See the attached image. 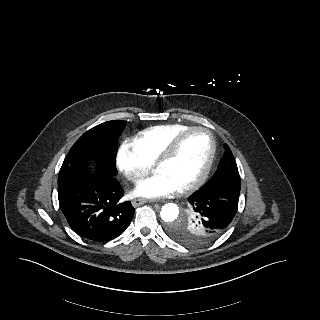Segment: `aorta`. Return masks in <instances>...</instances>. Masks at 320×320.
<instances>
[{
	"label": "aorta",
	"instance_id": "1",
	"mask_svg": "<svg viewBox=\"0 0 320 320\" xmlns=\"http://www.w3.org/2000/svg\"><path fill=\"white\" fill-rule=\"evenodd\" d=\"M178 215L179 207L174 203L165 204L160 211L161 219L167 223L175 221Z\"/></svg>",
	"mask_w": 320,
	"mask_h": 320
}]
</instances>
